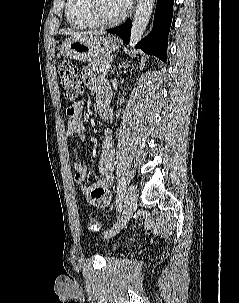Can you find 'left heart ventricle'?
Wrapping results in <instances>:
<instances>
[{"label":"left heart ventricle","instance_id":"1","mask_svg":"<svg viewBox=\"0 0 239 303\" xmlns=\"http://www.w3.org/2000/svg\"><path fill=\"white\" fill-rule=\"evenodd\" d=\"M101 14L105 18H115L125 11L119 0H100Z\"/></svg>","mask_w":239,"mask_h":303}]
</instances>
